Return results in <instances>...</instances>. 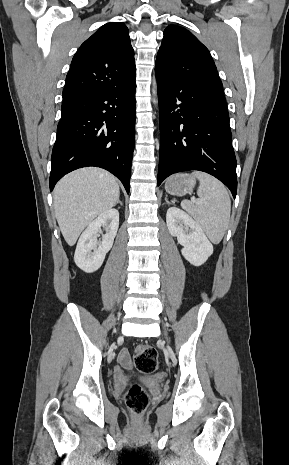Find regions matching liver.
<instances>
[{
  "label": "liver",
  "instance_id": "liver-1",
  "mask_svg": "<svg viewBox=\"0 0 289 465\" xmlns=\"http://www.w3.org/2000/svg\"><path fill=\"white\" fill-rule=\"evenodd\" d=\"M119 195L117 179L100 168H82L63 177L54 188L53 199L67 244L73 246L86 226L115 206Z\"/></svg>",
  "mask_w": 289,
  "mask_h": 465
}]
</instances>
